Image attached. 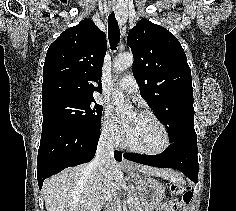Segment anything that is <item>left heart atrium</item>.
Segmentation results:
<instances>
[{
  "label": "left heart atrium",
  "instance_id": "1",
  "mask_svg": "<svg viewBox=\"0 0 236 211\" xmlns=\"http://www.w3.org/2000/svg\"><path fill=\"white\" fill-rule=\"evenodd\" d=\"M128 124H129V120L128 119L123 121V125H124L125 128L127 127Z\"/></svg>",
  "mask_w": 236,
  "mask_h": 211
}]
</instances>
